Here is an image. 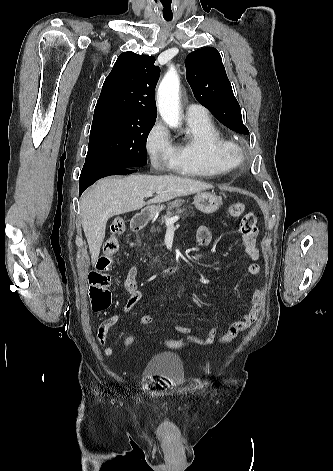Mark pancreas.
<instances>
[{"mask_svg":"<svg viewBox=\"0 0 333 471\" xmlns=\"http://www.w3.org/2000/svg\"><path fill=\"white\" fill-rule=\"evenodd\" d=\"M188 209H189V210H192V207L188 206V207H183V208H177L175 212H173V211H171V210H168V211L166 212L165 216H163V217L161 218L160 225H163L167 218L172 217L174 214H180V215H182V214H184V212H187ZM150 232H151L152 234H155L156 232L159 233V232H161V227H160V226H157V227L152 226L151 229H150ZM141 243H142L141 239H140V238H137V244L140 245Z\"/></svg>","mask_w":333,"mask_h":471,"instance_id":"1","label":"pancreas"}]
</instances>
